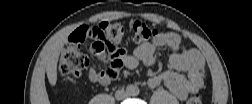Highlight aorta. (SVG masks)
<instances>
[{"label":"aorta","mask_w":252,"mask_h":104,"mask_svg":"<svg viewBox=\"0 0 252 104\" xmlns=\"http://www.w3.org/2000/svg\"><path fill=\"white\" fill-rule=\"evenodd\" d=\"M127 94L130 96H135L139 93V89L135 85H128L126 88Z\"/></svg>","instance_id":"aorta-1"}]
</instances>
